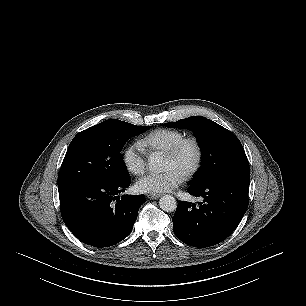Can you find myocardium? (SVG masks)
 <instances>
[{"label":"myocardium","mask_w":306,"mask_h":306,"mask_svg":"<svg viewBox=\"0 0 306 306\" xmlns=\"http://www.w3.org/2000/svg\"><path fill=\"white\" fill-rule=\"evenodd\" d=\"M193 144L196 150V160L193 167L184 177V180L192 179L201 169L203 158H204V151L201 142L195 136H184L180 139L173 147H171L164 155L168 158H175L179 155L185 145Z\"/></svg>","instance_id":"obj_1"}]
</instances>
